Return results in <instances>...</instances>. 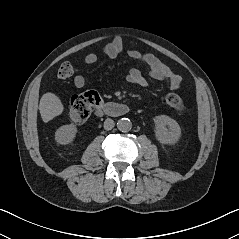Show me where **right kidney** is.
Returning a JSON list of instances; mask_svg holds the SVG:
<instances>
[{
  "label": "right kidney",
  "instance_id": "right-kidney-1",
  "mask_svg": "<svg viewBox=\"0 0 239 239\" xmlns=\"http://www.w3.org/2000/svg\"><path fill=\"white\" fill-rule=\"evenodd\" d=\"M77 128L73 124L63 125L56 130L55 140L60 144H68L75 138Z\"/></svg>",
  "mask_w": 239,
  "mask_h": 239
}]
</instances>
